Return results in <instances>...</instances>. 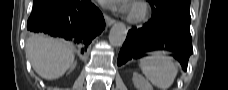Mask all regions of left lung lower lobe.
I'll return each instance as SVG.
<instances>
[{
  "mask_svg": "<svg viewBox=\"0 0 228 90\" xmlns=\"http://www.w3.org/2000/svg\"><path fill=\"white\" fill-rule=\"evenodd\" d=\"M152 7V18L141 28L133 27L119 53L117 64L120 66L132 58L144 56V52L156 47L166 46L174 52L184 71L193 53L190 34V12H168Z\"/></svg>",
  "mask_w": 228,
  "mask_h": 90,
  "instance_id": "0a47b994",
  "label": "left lung lower lobe"
}]
</instances>
